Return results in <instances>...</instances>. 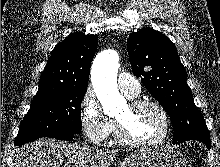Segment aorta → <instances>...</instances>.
I'll return each mask as SVG.
<instances>
[{"mask_svg":"<svg viewBox=\"0 0 220 167\" xmlns=\"http://www.w3.org/2000/svg\"><path fill=\"white\" fill-rule=\"evenodd\" d=\"M119 66V55L114 50H105L98 54L92 65L91 80L94 91L107 115L115 114L118 108L126 103L117 86Z\"/></svg>","mask_w":220,"mask_h":167,"instance_id":"aorta-1","label":"aorta"}]
</instances>
